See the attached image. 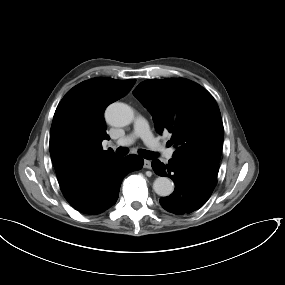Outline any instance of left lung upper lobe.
I'll list each match as a JSON object with an SVG mask.
<instances>
[{
    "mask_svg": "<svg viewBox=\"0 0 285 285\" xmlns=\"http://www.w3.org/2000/svg\"><path fill=\"white\" fill-rule=\"evenodd\" d=\"M158 133H172L173 158L219 168L224 130L219 107L199 84L183 78L146 80L133 91Z\"/></svg>",
    "mask_w": 285,
    "mask_h": 285,
    "instance_id": "5c2ea615",
    "label": "left lung upper lobe"
}]
</instances>
